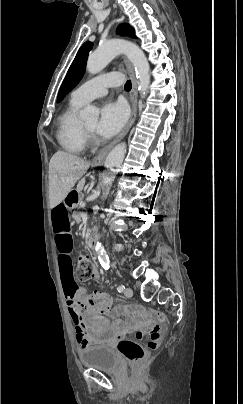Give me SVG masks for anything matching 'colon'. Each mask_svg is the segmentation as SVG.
Instances as JSON below:
<instances>
[{
	"instance_id": "colon-1",
	"label": "colon",
	"mask_w": 243,
	"mask_h": 404,
	"mask_svg": "<svg viewBox=\"0 0 243 404\" xmlns=\"http://www.w3.org/2000/svg\"><path fill=\"white\" fill-rule=\"evenodd\" d=\"M78 277L80 280L87 281L95 277L96 271L90 258L82 255L78 259ZM79 304L90 313L99 317H108L116 313H128L132 315H141L144 310L140 306L127 305L117 302L107 293H90L79 300ZM159 321H164L162 313L156 314ZM147 338V342L142 345L138 341L123 340L119 343V351L131 362H139L144 358L148 350L156 349L161 341V330L158 325L150 328L146 333H140L137 339Z\"/></svg>"
}]
</instances>
